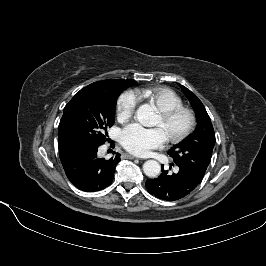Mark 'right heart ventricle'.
<instances>
[{
	"mask_svg": "<svg viewBox=\"0 0 266 266\" xmlns=\"http://www.w3.org/2000/svg\"><path fill=\"white\" fill-rule=\"evenodd\" d=\"M141 94L159 111L183 106L181 97L169 88L144 89Z\"/></svg>",
	"mask_w": 266,
	"mask_h": 266,
	"instance_id": "1",
	"label": "right heart ventricle"
}]
</instances>
